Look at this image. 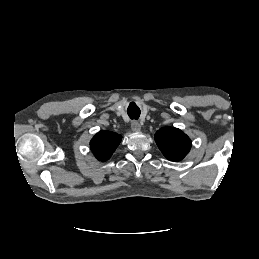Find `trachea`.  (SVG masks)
<instances>
[{"label": "trachea", "instance_id": "1", "mask_svg": "<svg viewBox=\"0 0 259 259\" xmlns=\"http://www.w3.org/2000/svg\"><path fill=\"white\" fill-rule=\"evenodd\" d=\"M127 113L132 120H138L140 116V109L136 105H130L127 109Z\"/></svg>", "mask_w": 259, "mask_h": 259}]
</instances>
